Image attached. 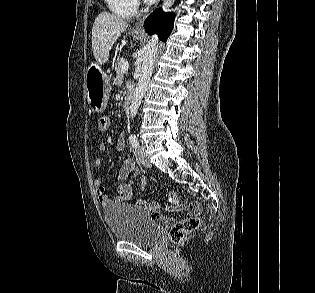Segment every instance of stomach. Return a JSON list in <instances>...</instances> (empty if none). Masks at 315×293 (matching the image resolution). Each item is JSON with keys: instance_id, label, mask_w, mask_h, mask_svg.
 Returning a JSON list of instances; mask_svg holds the SVG:
<instances>
[{"instance_id": "obj_1", "label": "stomach", "mask_w": 315, "mask_h": 293, "mask_svg": "<svg viewBox=\"0 0 315 293\" xmlns=\"http://www.w3.org/2000/svg\"><path fill=\"white\" fill-rule=\"evenodd\" d=\"M133 36L138 40L144 38L143 34L133 33ZM95 60L87 72L86 96L92 111L101 113L107 106L111 83L110 76L102 70V61Z\"/></svg>"}]
</instances>
